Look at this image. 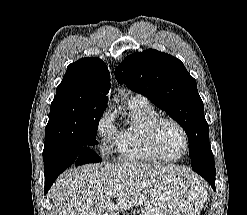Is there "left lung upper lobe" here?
Wrapping results in <instances>:
<instances>
[{"label": "left lung upper lobe", "instance_id": "left-lung-upper-lobe-1", "mask_svg": "<svg viewBox=\"0 0 247 215\" xmlns=\"http://www.w3.org/2000/svg\"><path fill=\"white\" fill-rule=\"evenodd\" d=\"M115 78L146 96L177 121L188 135L191 164L211 150L209 128L196 80L179 59L148 49L126 57L115 69Z\"/></svg>", "mask_w": 247, "mask_h": 215}]
</instances>
